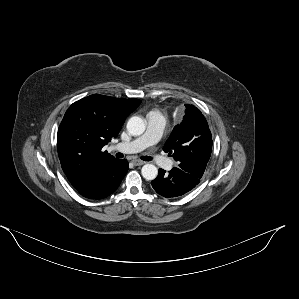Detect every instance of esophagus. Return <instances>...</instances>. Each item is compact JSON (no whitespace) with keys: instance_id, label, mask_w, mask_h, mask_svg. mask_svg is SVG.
I'll return each instance as SVG.
<instances>
[{"instance_id":"obj_1","label":"esophagus","mask_w":299,"mask_h":299,"mask_svg":"<svg viewBox=\"0 0 299 299\" xmlns=\"http://www.w3.org/2000/svg\"><path fill=\"white\" fill-rule=\"evenodd\" d=\"M132 162L135 166H141L145 163L144 161L137 160V159L133 160Z\"/></svg>"}]
</instances>
